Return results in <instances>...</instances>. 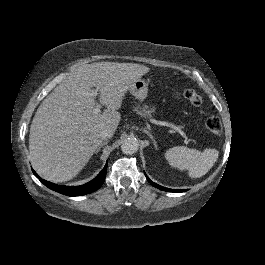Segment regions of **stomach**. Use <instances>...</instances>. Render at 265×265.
<instances>
[{
    "label": "stomach",
    "mask_w": 265,
    "mask_h": 265,
    "mask_svg": "<svg viewBox=\"0 0 265 265\" xmlns=\"http://www.w3.org/2000/svg\"><path fill=\"white\" fill-rule=\"evenodd\" d=\"M128 90L136 99L143 101L148 94V84L142 79H137Z\"/></svg>",
    "instance_id": "stomach-1"
}]
</instances>
